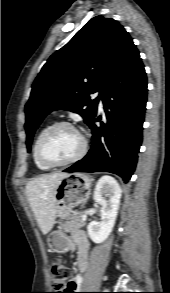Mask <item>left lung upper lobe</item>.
<instances>
[{
	"mask_svg": "<svg viewBox=\"0 0 170 293\" xmlns=\"http://www.w3.org/2000/svg\"><path fill=\"white\" fill-rule=\"evenodd\" d=\"M133 46L117 21L96 16L56 51L35 79L25 106L28 151L35 130L53 110L78 113L89 125L106 84ZM97 91L100 95L90 100L89 95Z\"/></svg>",
	"mask_w": 170,
	"mask_h": 293,
	"instance_id": "1",
	"label": "left lung upper lobe"
}]
</instances>
